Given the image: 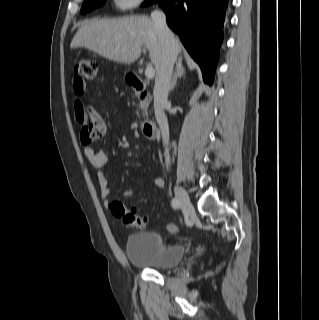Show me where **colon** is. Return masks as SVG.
<instances>
[{
	"mask_svg": "<svg viewBox=\"0 0 319 320\" xmlns=\"http://www.w3.org/2000/svg\"><path fill=\"white\" fill-rule=\"evenodd\" d=\"M98 66L96 61L91 59H83L77 62L75 65V81L79 85L85 84V82L93 81L97 77ZM77 122L80 126V139L83 144H89L95 137L92 133L90 124L86 122V119L82 113L76 114ZM111 212L120 218L123 224L130 228H147L149 226L146 217L138 215L134 210L127 209L121 201H114L110 205ZM166 229L170 233H177L179 231L175 224H167Z\"/></svg>",
	"mask_w": 319,
	"mask_h": 320,
	"instance_id": "colon-1",
	"label": "colon"
}]
</instances>
